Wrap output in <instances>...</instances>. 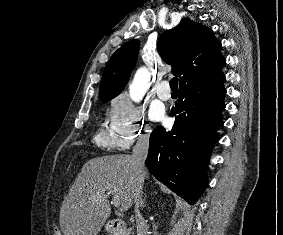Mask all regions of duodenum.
Masks as SVG:
<instances>
[{
  "label": "duodenum",
  "mask_w": 283,
  "mask_h": 235,
  "mask_svg": "<svg viewBox=\"0 0 283 235\" xmlns=\"http://www.w3.org/2000/svg\"><path fill=\"white\" fill-rule=\"evenodd\" d=\"M107 229L116 235H121L125 229V224L123 221L115 219L109 220L106 224Z\"/></svg>",
  "instance_id": "410a0bca"
}]
</instances>
